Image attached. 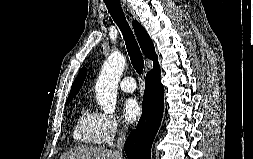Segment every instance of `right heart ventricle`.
<instances>
[{
  "label": "right heart ventricle",
  "mask_w": 253,
  "mask_h": 159,
  "mask_svg": "<svg viewBox=\"0 0 253 159\" xmlns=\"http://www.w3.org/2000/svg\"><path fill=\"white\" fill-rule=\"evenodd\" d=\"M72 137L78 145L95 146L101 144L100 113L83 106L74 120Z\"/></svg>",
  "instance_id": "right-heart-ventricle-1"
}]
</instances>
